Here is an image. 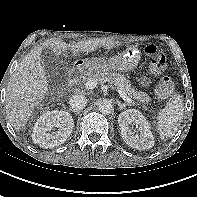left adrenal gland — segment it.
<instances>
[{"label":"left adrenal gland","instance_id":"obj_1","mask_svg":"<svg viewBox=\"0 0 197 197\" xmlns=\"http://www.w3.org/2000/svg\"><path fill=\"white\" fill-rule=\"evenodd\" d=\"M118 106H119V110H122L125 109L126 106H130V104L118 102Z\"/></svg>","mask_w":197,"mask_h":197}]
</instances>
